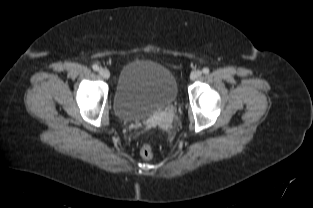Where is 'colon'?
<instances>
[{
    "mask_svg": "<svg viewBox=\"0 0 313 208\" xmlns=\"http://www.w3.org/2000/svg\"><path fill=\"white\" fill-rule=\"evenodd\" d=\"M140 155L144 159H151L154 155V149L149 144H144L140 149Z\"/></svg>",
    "mask_w": 313,
    "mask_h": 208,
    "instance_id": "obj_1",
    "label": "colon"
}]
</instances>
